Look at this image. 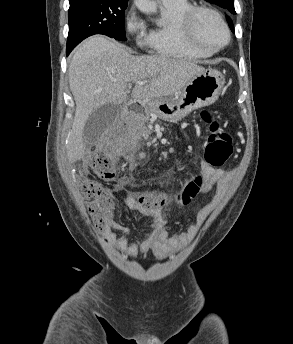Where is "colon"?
I'll return each mask as SVG.
<instances>
[{
    "label": "colon",
    "mask_w": 293,
    "mask_h": 344,
    "mask_svg": "<svg viewBox=\"0 0 293 344\" xmlns=\"http://www.w3.org/2000/svg\"><path fill=\"white\" fill-rule=\"evenodd\" d=\"M201 120L209 125L210 135L204 153L205 163L212 168H219L226 164L232 155L233 144L231 136L221 129L216 121L215 112L203 110L200 114ZM88 166L99 177L112 180L119 174L117 161L105 152H96L88 160ZM86 195L87 210L96 228H102L105 221L112 216L114 201L106 188L97 182H88L84 186ZM199 192V183L191 182L187 184L177 200L186 205ZM138 202L147 207L161 206L167 199L157 192H139L135 194Z\"/></svg>",
    "instance_id": "1"
}]
</instances>
